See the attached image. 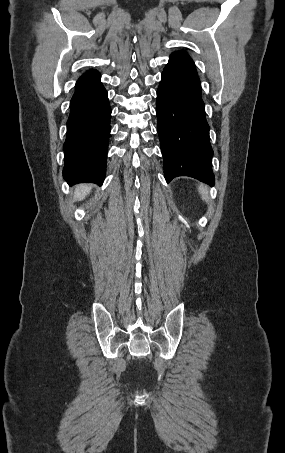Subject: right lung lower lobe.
Masks as SVG:
<instances>
[{"label":"right lung lower lobe","mask_w":285,"mask_h":453,"mask_svg":"<svg viewBox=\"0 0 285 453\" xmlns=\"http://www.w3.org/2000/svg\"><path fill=\"white\" fill-rule=\"evenodd\" d=\"M110 116L108 94L100 82V73L93 69L85 72L75 85L63 145V177L69 184L91 182L102 185Z\"/></svg>","instance_id":"obj_1"}]
</instances>
